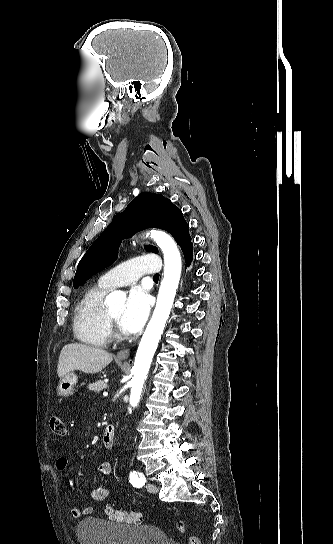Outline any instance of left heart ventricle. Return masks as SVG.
<instances>
[{"mask_svg": "<svg viewBox=\"0 0 333 544\" xmlns=\"http://www.w3.org/2000/svg\"><path fill=\"white\" fill-rule=\"evenodd\" d=\"M122 311H123V307L120 306V307H118V308H116V309L111 310V311H110V314H111L117 321H119V320H120V316H121V314H122Z\"/></svg>", "mask_w": 333, "mask_h": 544, "instance_id": "obj_1", "label": "left heart ventricle"}]
</instances>
